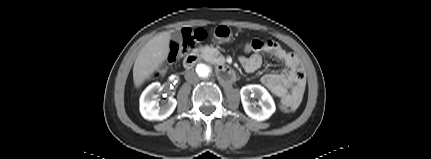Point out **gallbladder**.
<instances>
[{"label":"gallbladder","mask_w":431,"mask_h":159,"mask_svg":"<svg viewBox=\"0 0 431 159\" xmlns=\"http://www.w3.org/2000/svg\"><path fill=\"white\" fill-rule=\"evenodd\" d=\"M171 38H172V40H173L174 42H176L177 44H181V43H182V41H183L182 34H181V32H180V31H178V30L172 31V33H171Z\"/></svg>","instance_id":"1"}]
</instances>
